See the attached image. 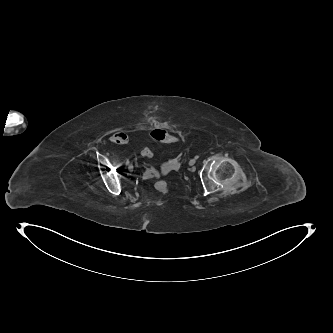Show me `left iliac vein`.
Listing matches in <instances>:
<instances>
[{
	"mask_svg": "<svg viewBox=\"0 0 333 333\" xmlns=\"http://www.w3.org/2000/svg\"><path fill=\"white\" fill-rule=\"evenodd\" d=\"M195 163H196V159H191V160L189 161V165H190V166H193Z\"/></svg>",
	"mask_w": 333,
	"mask_h": 333,
	"instance_id": "4c4485c4",
	"label": "left iliac vein"
}]
</instances>
